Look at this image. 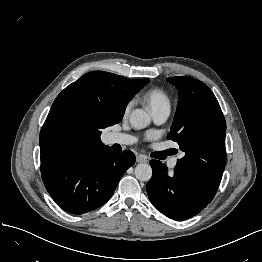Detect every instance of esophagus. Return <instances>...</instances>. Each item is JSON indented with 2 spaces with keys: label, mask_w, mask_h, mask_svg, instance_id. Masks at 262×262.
Returning <instances> with one entry per match:
<instances>
[{
  "label": "esophagus",
  "mask_w": 262,
  "mask_h": 262,
  "mask_svg": "<svg viewBox=\"0 0 262 262\" xmlns=\"http://www.w3.org/2000/svg\"><path fill=\"white\" fill-rule=\"evenodd\" d=\"M147 161H148V158L143 154H139L136 156L137 163H146Z\"/></svg>",
  "instance_id": "obj_1"
}]
</instances>
